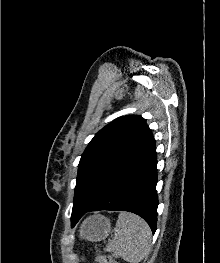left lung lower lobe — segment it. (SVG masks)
<instances>
[{
  "label": "left lung lower lobe",
  "instance_id": "obj_1",
  "mask_svg": "<svg viewBox=\"0 0 220 263\" xmlns=\"http://www.w3.org/2000/svg\"><path fill=\"white\" fill-rule=\"evenodd\" d=\"M156 165L157 153L154 143L89 208L82 211L72 210L71 226L74 227L87 212L128 211L145 219L154 234L158 206Z\"/></svg>",
  "mask_w": 220,
  "mask_h": 263
}]
</instances>
